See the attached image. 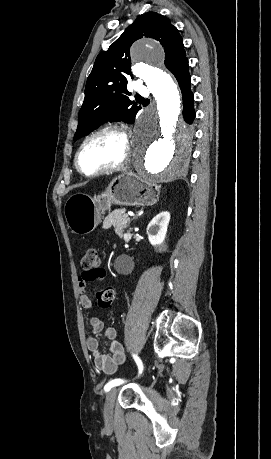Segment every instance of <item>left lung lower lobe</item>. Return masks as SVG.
Here are the masks:
<instances>
[{
	"instance_id": "1",
	"label": "left lung lower lobe",
	"mask_w": 271,
	"mask_h": 459,
	"mask_svg": "<svg viewBox=\"0 0 271 459\" xmlns=\"http://www.w3.org/2000/svg\"><path fill=\"white\" fill-rule=\"evenodd\" d=\"M177 79L183 97V117L184 120L191 124L195 118L194 95L190 89L191 76L189 74L188 59L182 60L172 71Z\"/></svg>"
}]
</instances>
